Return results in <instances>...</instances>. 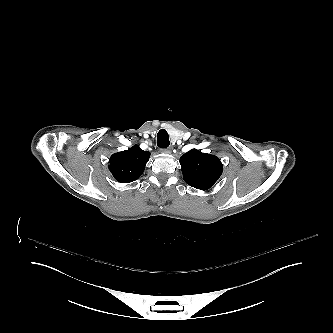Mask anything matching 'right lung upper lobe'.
<instances>
[{
	"label": "right lung upper lobe",
	"instance_id": "1",
	"mask_svg": "<svg viewBox=\"0 0 333 333\" xmlns=\"http://www.w3.org/2000/svg\"><path fill=\"white\" fill-rule=\"evenodd\" d=\"M150 153L140 149L138 145L115 153L109 159V169L120 183H130L137 180L143 173Z\"/></svg>",
	"mask_w": 333,
	"mask_h": 333
}]
</instances>
